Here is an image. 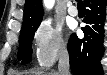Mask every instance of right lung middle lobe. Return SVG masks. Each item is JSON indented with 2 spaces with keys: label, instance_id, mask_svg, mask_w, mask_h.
I'll use <instances>...</instances> for the list:
<instances>
[{
  "label": "right lung middle lobe",
  "instance_id": "obj_1",
  "mask_svg": "<svg viewBox=\"0 0 107 75\" xmlns=\"http://www.w3.org/2000/svg\"><path fill=\"white\" fill-rule=\"evenodd\" d=\"M39 25L40 23H25L22 25L18 50V59L22 60V64H27L31 60L32 40Z\"/></svg>",
  "mask_w": 107,
  "mask_h": 75
}]
</instances>
